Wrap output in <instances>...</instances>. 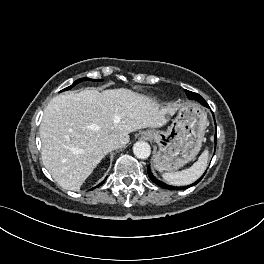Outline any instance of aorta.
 Instances as JSON below:
<instances>
[{"label":"aorta","instance_id":"aorta-1","mask_svg":"<svg viewBox=\"0 0 264 264\" xmlns=\"http://www.w3.org/2000/svg\"><path fill=\"white\" fill-rule=\"evenodd\" d=\"M133 153L139 159H147L150 156L151 147L145 141H138L133 146Z\"/></svg>","mask_w":264,"mask_h":264}]
</instances>
